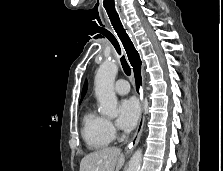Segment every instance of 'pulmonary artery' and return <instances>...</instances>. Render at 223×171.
I'll return each instance as SVG.
<instances>
[{
    "label": "pulmonary artery",
    "mask_w": 223,
    "mask_h": 171,
    "mask_svg": "<svg viewBox=\"0 0 223 171\" xmlns=\"http://www.w3.org/2000/svg\"><path fill=\"white\" fill-rule=\"evenodd\" d=\"M114 90L117 94L124 95L130 90L128 82L124 79H119L115 82Z\"/></svg>",
    "instance_id": "pulmonary-artery-1"
}]
</instances>
